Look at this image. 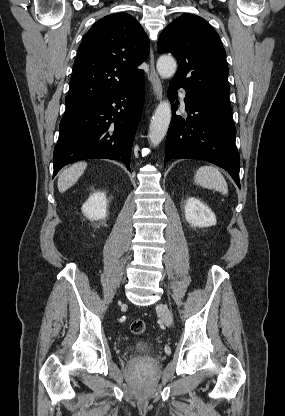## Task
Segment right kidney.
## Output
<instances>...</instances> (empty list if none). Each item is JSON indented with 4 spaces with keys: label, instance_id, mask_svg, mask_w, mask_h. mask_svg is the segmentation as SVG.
<instances>
[{
    "label": "right kidney",
    "instance_id": "1",
    "mask_svg": "<svg viewBox=\"0 0 285 416\" xmlns=\"http://www.w3.org/2000/svg\"><path fill=\"white\" fill-rule=\"evenodd\" d=\"M106 196L104 192H94L82 206V212L89 220H103L106 218Z\"/></svg>",
    "mask_w": 285,
    "mask_h": 416
}]
</instances>
